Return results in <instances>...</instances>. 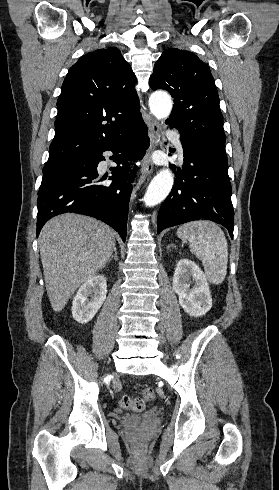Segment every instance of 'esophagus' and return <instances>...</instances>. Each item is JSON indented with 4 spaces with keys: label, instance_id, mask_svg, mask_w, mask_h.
<instances>
[{
    "label": "esophagus",
    "instance_id": "esophagus-1",
    "mask_svg": "<svg viewBox=\"0 0 279 490\" xmlns=\"http://www.w3.org/2000/svg\"><path fill=\"white\" fill-rule=\"evenodd\" d=\"M150 147L142 159L141 173L149 175L153 170L152 152L157 148L160 139V125L157 120H152L149 126Z\"/></svg>",
    "mask_w": 279,
    "mask_h": 490
}]
</instances>
